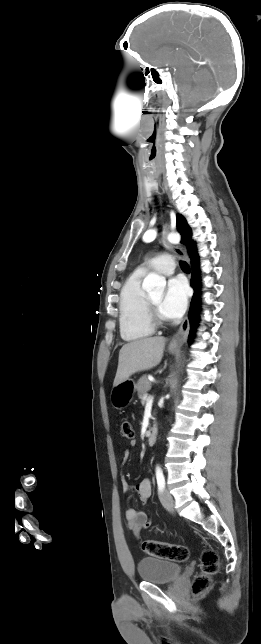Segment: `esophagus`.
<instances>
[{
	"mask_svg": "<svg viewBox=\"0 0 261 644\" xmlns=\"http://www.w3.org/2000/svg\"><path fill=\"white\" fill-rule=\"evenodd\" d=\"M169 228H170L169 223H166L165 226H164L163 234H162V239H163L164 244L168 248L172 249L175 252L176 255H178L179 257L184 258L185 260H188V256H187L186 252L182 248H180L178 246H172L168 242L167 235H168V232H169ZM188 333H189V319L186 316L183 319L178 331L171 338L170 345L171 346H180V345H182L186 341Z\"/></svg>",
	"mask_w": 261,
	"mask_h": 644,
	"instance_id": "esophagus-1",
	"label": "esophagus"
}]
</instances>
